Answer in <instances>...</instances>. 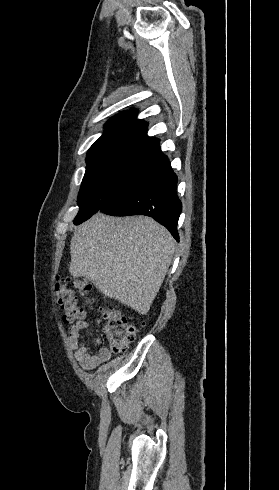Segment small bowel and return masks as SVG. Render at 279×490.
Segmentation results:
<instances>
[{
  "mask_svg": "<svg viewBox=\"0 0 279 490\" xmlns=\"http://www.w3.org/2000/svg\"><path fill=\"white\" fill-rule=\"evenodd\" d=\"M93 321L97 324L101 323V319L99 318H95ZM87 326V320L76 321L68 330L67 342L70 348L75 351V358L81 367L85 370H92L100 364L110 360L112 358V351L106 347H102L96 354L90 353L81 336ZM100 343L101 339L98 338L96 344L99 345Z\"/></svg>",
  "mask_w": 279,
  "mask_h": 490,
  "instance_id": "small-bowel-1",
  "label": "small bowel"
}]
</instances>
